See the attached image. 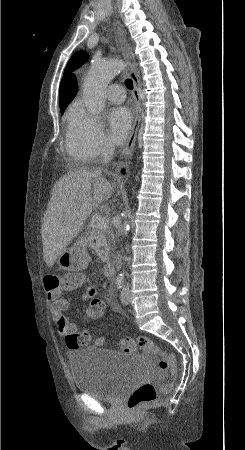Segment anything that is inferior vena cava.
Returning a JSON list of instances; mask_svg holds the SVG:
<instances>
[{
  "label": "inferior vena cava",
  "mask_w": 245,
  "mask_h": 450,
  "mask_svg": "<svg viewBox=\"0 0 245 450\" xmlns=\"http://www.w3.org/2000/svg\"><path fill=\"white\" fill-rule=\"evenodd\" d=\"M114 154V146L110 143H105L102 149V161L104 164L108 163ZM126 259V258H125Z\"/></svg>",
  "instance_id": "1"
}]
</instances>
